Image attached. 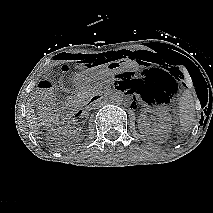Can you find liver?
Listing matches in <instances>:
<instances>
[{"label": "liver", "mask_w": 213, "mask_h": 213, "mask_svg": "<svg viewBox=\"0 0 213 213\" xmlns=\"http://www.w3.org/2000/svg\"><path fill=\"white\" fill-rule=\"evenodd\" d=\"M26 119L32 133L37 135L39 131V124L37 122V118L34 114V110L32 109L31 105H28L26 108Z\"/></svg>", "instance_id": "obj_1"}]
</instances>
